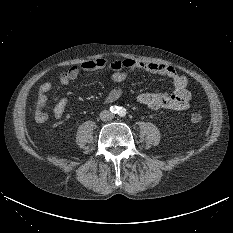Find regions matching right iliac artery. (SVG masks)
<instances>
[{
  "instance_id": "obj_1",
  "label": "right iliac artery",
  "mask_w": 233,
  "mask_h": 233,
  "mask_svg": "<svg viewBox=\"0 0 233 233\" xmlns=\"http://www.w3.org/2000/svg\"><path fill=\"white\" fill-rule=\"evenodd\" d=\"M119 109L120 108L116 105L110 107V111L114 114L118 113Z\"/></svg>"
}]
</instances>
